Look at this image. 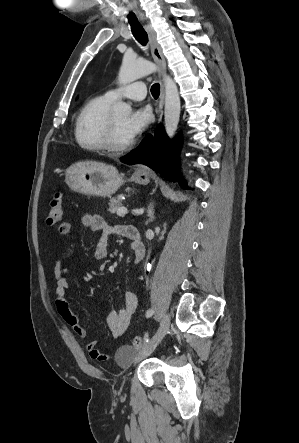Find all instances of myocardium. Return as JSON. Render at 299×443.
<instances>
[{"label": "myocardium", "instance_id": "obj_1", "mask_svg": "<svg viewBox=\"0 0 299 443\" xmlns=\"http://www.w3.org/2000/svg\"><path fill=\"white\" fill-rule=\"evenodd\" d=\"M134 145V141L131 140L126 144H118L116 141V131L112 116H109L106 131L104 136V148L111 154H122L130 150Z\"/></svg>", "mask_w": 299, "mask_h": 443}]
</instances>
